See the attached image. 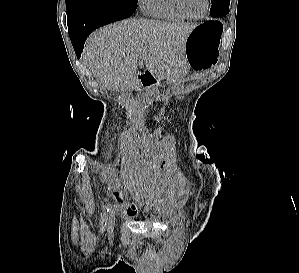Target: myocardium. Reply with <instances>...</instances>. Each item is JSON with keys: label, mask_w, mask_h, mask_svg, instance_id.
<instances>
[{"label": "myocardium", "mask_w": 299, "mask_h": 273, "mask_svg": "<svg viewBox=\"0 0 299 273\" xmlns=\"http://www.w3.org/2000/svg\"><path fill=\"white\" fill-rule=\"evenodd\" d=\"M206 1V7H205V10L204 12L199 15V16H192L190 15L184 5H183V1L182 0H175V3H176V6L177 8L188 18V19H191V20H200L202 18H204L206 16V14L208 13V10H209V7H210V0H205Z\"/></svg>", "instance_id": "myocardium-1"}]
</instances>
